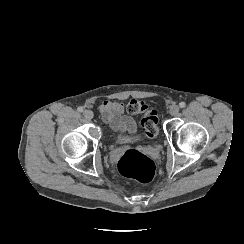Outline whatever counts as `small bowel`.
<instances>
[{
	"label": "small bowel",
	"mask_w": 244,
	"mask_h": 244,
	"mask_svg": "<svg viewBox=\"0 0 244 244\" xmlns=\"http://www.w3.org/2000/svg\"><path fill=\"white\" fill-rule=\"evenodd\" d=\"M102 119L115 133L133 138L137 134V121L128 116L123 103L104 101L99 105Z\"/></svg>",
	"instance_id": "1"
}]
</instances>
